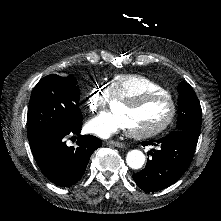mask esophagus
Segmentation results:
<instances>
[{"label": "esophagus", "mask_w": 221, "mask_h": 221, "mask_svg": "<svg viewBox=\"0 0 221 221\" xmlns=\"http://www.w3.org/2000/svg\"><path fill=\"white\" fill-rule=\"evenodd\" d=\"M106 145H111V146L118 147V148H123L124 147V143L123 142L113 141V140L107 141Z\"/></svg>", "instance_id": "obj_1"}]
</instances>
